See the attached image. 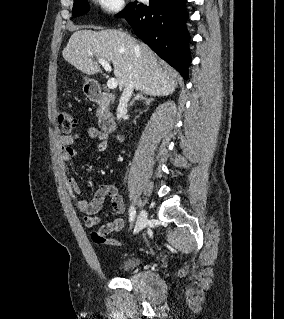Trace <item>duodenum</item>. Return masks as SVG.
<instances>
[{
    "mask_svg": "<svg viewBox=\"0 0 284 319\" xmlns=\"http://www.w3.org/2000/svg\"><path fill=\"white\" fill-rule=\"evenodd\" d=\"M87 95L91 101L101 107V112L98 117V124L101 130L106 133L116 132V123L109 111V106L113 99L112 94L103 92L97 86H89Z\"/></svg>",
    "mask_w": 284,
    "mask_h": 319,
    "instance_id": "duodenum-1",
    "label": "duodenum"
}]
</instances>
